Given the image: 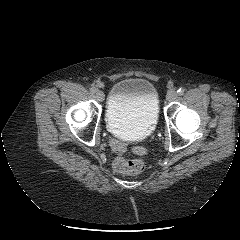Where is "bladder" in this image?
<instances>
[{
    "instance_id": "31cf9c89",
    "label": "bladder",
    "mask_w": 240,
    "mask_h": 240,
    "mask_svg": "<svg viewBox=\"0 0 240 240\" xmlns=\"http://www.w3.org/2000/svg\"><path fill=\"white\" fill-rule=\"evenodd\" d=\"M159 118V98L154 84L141 77L117 81L106 107V126L114 135L137 138L150 134Z\"/></svg>"
}]
</instances>
